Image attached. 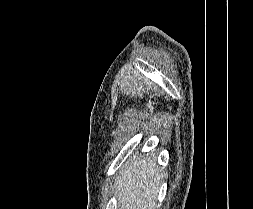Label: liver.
Masks as SVG:
<instances>
[{"mask_svg": "<svg viewBox=\"0 0 253 209\" xmlns=\"http://www.w3.org/2000/svg\"><path fill=\"white\" fill-rule=\"evenodd\" d=\"M162 176L155 159L133 157L116 181L118 208L155 209Z\"/></svg>", "mask_w": 253, "mask_h": 209, "instance_id": "6515ba94", "label": "liver"}]
</instances>
